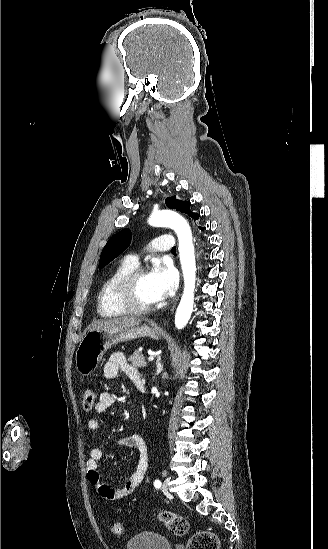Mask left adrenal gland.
<instances>
[{
	"label": "left adrenal gland",
	"mask_w": 328,
	"mask_h": 549,
	"mask_svg": "<svg viewBox=\"0 0 328 549\" xmlns=\"http://www.w3.org/2000/svg\"><path fill=\"white\" fill-rule=\"evenodd\" d=\"M156 365H157L156 375H159V373H161L163 367H161L160 361H158V363H156Z\"/></svg>",
	"instance_id": "a2214340"
}]
</instances>
